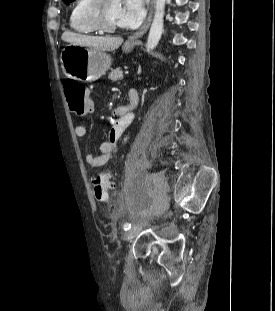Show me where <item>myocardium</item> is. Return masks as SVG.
<instances>
[{
	"mask_svg": "<svg viewBox=\"0 0 275 311\" xmlns=\"http://www.w3.org/2000/svg\"><path fill=\"white\" fill-rule=\"evenodd\" d=\"M109 0H90L84 15L87 21L99 32L115 33L119 31L121 25H113L106 20V8Z\"/></svg>",
	"mask_w": 275,
	"mask_h": 311,
	"instance_id": "1",
	"label": "myocardium"
}]
</instances>
